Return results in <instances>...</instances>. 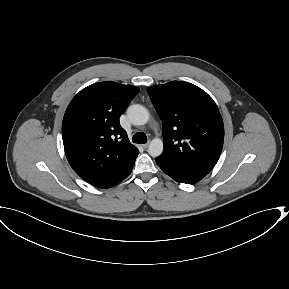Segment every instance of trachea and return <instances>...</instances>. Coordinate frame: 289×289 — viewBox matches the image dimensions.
Returning <instances> with one entry per match:
<instances>
[{
    "label": "trachea",
    "mask_w": 289,
    "mask_h": 289,
    "mask_svg": "<svg viewBox=\"0 0 289 289\" xmlns=\"http://www.w3.org/2000/svg\"><path fill=\"white\" fill-rule=\"evenodd\" d=\"M134 143H138V144H144L147 142V137L146 134L143 132H137L134 134L133 138H132Z\"/></svg>",
    "instance_id": "trachea-1"
}]
</instances>
